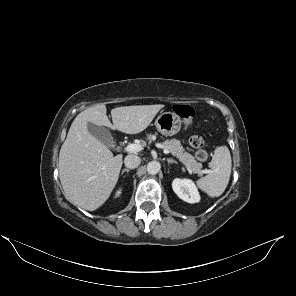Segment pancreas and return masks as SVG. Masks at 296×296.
Here are the masks:
<instances>
[{
  "instance_id": "1",
  "label": "pancreas",
  "mask_w": 296,
  "mask_h": 296,
  "mask_svg": "<svg viewBox=\"0 0 296 296\" xmlns=\"http://www.w3.org/2000/svg\"><path fill=\"white\" fill-rule=\"evenodd\" d=\"M148 140L151 141V136L148 137ZM162 146L168 149L188 170L201 174L202 164L197 162L194 156L185 151L179 140H166L162 143Z\"/></svg>"
}]
</instances>
